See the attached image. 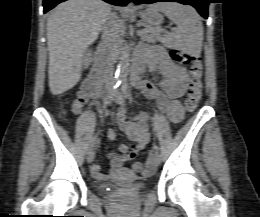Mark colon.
Wrapping results in <instances>:
<instances>
[{"label": "colon", "instance_id": "obj_1", "mask_svg": "<svg viewBox=\"0 0 260 217\" xmlns=\"http://www.w3.org/2000/svg\"><path fill=\"white\" fill-rule=\"evenodd\" d=\"M170 57L178 64H190L191 80L189 97L186 103V109L188 112H194L197 109L201 99L203 75L202 62L197 55H192L180 50H172L170 52ZM133 169L137 173L144 172V166L139 162L133 164Z\"/></svg>", "mask_w": 260, "mask_h": 217}]
</instances>
